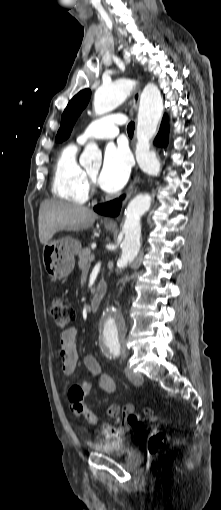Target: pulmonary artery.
Returning <instances> with one entry per match:
<instances>
[{"label": "pulmonary artery", "instance_id": "obj_1", "mask_svg": "<svg viewBox=\"0 0 221 510\" xmlns=\"http://www.w3.org/2000/svg\"><path fill=\"white\" fill-rule=\"evenodd\" d=\"M124 123L125 120L118 115L104 116L90 123L78 136L77 141L84 144L92 139L115 138L119 133V126Z\"/></svg>", "mask_w": 221, "mask_h": 510}]
</instances>
